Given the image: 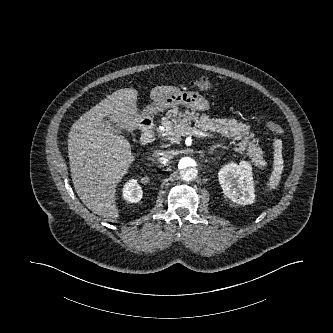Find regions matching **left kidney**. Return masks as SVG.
I'll return each mask as SVG.
<instances>
[{
    "label": "left kidney",
    "mask_w": 333,
    "mask_h": 333,
    "mask_svg": "<svg viewBox=\"0 0 333 333\" xmlns=\"http://www.w3.org/2000/svg\"><path fill=\"white\" fill-rule=\"evenodd\" d=\"M224 195L231 201L248 205L254 203L255 189L252 167L246 161L225 165L218 173Z\"/></svg>",
    "instance_id": "1"
}]
</instances>
